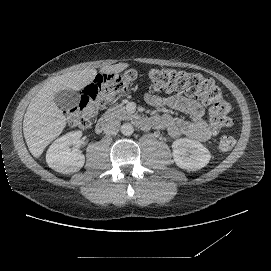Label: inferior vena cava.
<instances>
[{
	"mask_svg": "<svg viewBox=\"0 0 271 271\" xmlns=\"http://www.w3.org/2000/svg\"><path fill=\"white\" fill-rule=\"evenodd\" d=\"M121 123L119 120L114 118H109L103 124V130L107 135H116L120 129Z\"/></svg>",
	"mask_w": 271,
	"mask_h": 271,
	"instance_id": "inferior-vena-cava-1",
	"label": "inferior vena cava"
}]
</instances>
